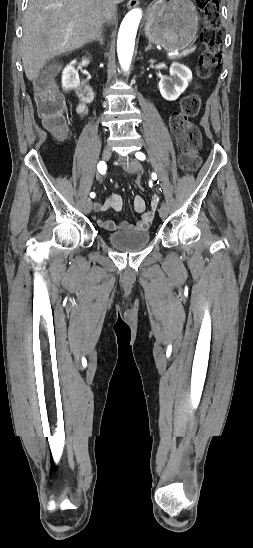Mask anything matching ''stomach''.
<instances>
[{
    "mask_svg": "<svg viewBox=\"0 0 253 548\" xmlns=\"http://www.w3.org/2000/svg\"><path fill=\"white\" fill-rule=\"evenodd\" d=\"M198 15L191 0H158L149 10L145 35L168 51H182L195 39Z\"/></svg>",
    "mask_w": 253,
    "mask_h": 548,
    "instance_id": "obj_1",
    "label": "stomach"
}]
</instances>
